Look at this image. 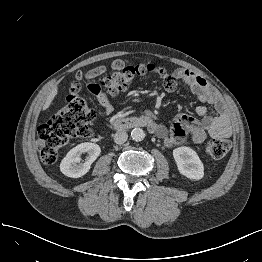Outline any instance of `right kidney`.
<instances>
[{
	"label": "right kidney",
	"mask_w": 262,
	"mask_h": 262,
	"mask_svg": "<svg viewBox=\"0 0 262 262\" xmlns=\"http://www.w3.org/2000/svg\"><path fill=\"white\" fill-rule=\"evenodd\" d=\"M101 152L99 145L94 143H81L72 148L60 163L61 172L71 178H79L85 175L91 167V164L97 159ZM87 153L88 156L84 163L78 164L81 155Z\"/></svg>",
	"instance_id": "obj_1"
}]
</instances>
